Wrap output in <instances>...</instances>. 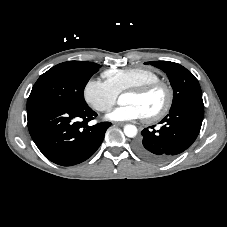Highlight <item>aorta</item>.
<instances>
[{"mask_svg":"<svg viewBox=\"0 0 227 227\" xmlns=\"http://www.w3.org/2000/svg\"><path fill=\"white\" fill-rule=\"evenodd\" d=\"M124 134L127 136V137H130V138H133L137 135V128L136 126L134 125H125L124 126Z\"/></svg>","mask_w":227,"mask_h":227,"instance_id":"762f6f07","label":"aorta"}]
</instances>
